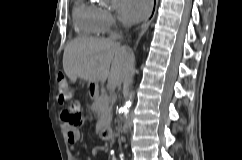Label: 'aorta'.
I'll return each instance as SVG.
<instances>
[{
	"label": "aorta",
	"instance_id": "762f6f07",
	"mask_svg": "<svg viewBox=\"0 0 242 160\" xmlns=\"http://www.w3.org/2000/svg\"><path fill=\"white\" fill-rule=\"evenodd\" d=\"M129 106V104H126V106L124 107V111L127 112V107ZM125 127V124L123 126V128Z\"/></svg>",
	"mask_w": 242,
	"mask_h": 160
}]
</instances>
